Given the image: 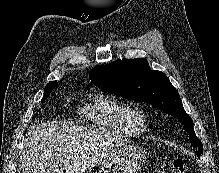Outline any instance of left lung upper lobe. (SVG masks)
<instances>
[{
	"mask_svg": "<svg viewBox=\"0 0 219 173\" xmlns=\"http://www.w3.org/2000/svg\"><path fill=\"white\" fill-rule=\"evenodd\" d=\"M89 78L107 92L132 100L148 102L184 124L191 142L198 146L197 156L203 145L196 137L190 116L183 108L178 91L160 71L151 70L146 59H118L107 65L94 67Z\"/></svg>",
	"mask_w": 219,
	"mask_h": 173,
	"instance_id": "1",
	"label": "left lung upper lobe"
}]
</instances>
